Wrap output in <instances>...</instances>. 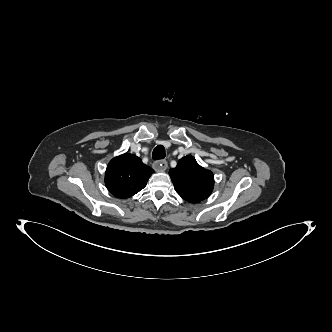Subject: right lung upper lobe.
I'll return each mask as SVG.
<instances>
[{
  "label": "right lung upper lobe",
  "mask_w": 332,
  "mask_h": 332,
  "mask_svg": "<svg viewBox=\"0 0 332 332\" xmlns=\"http://www.w3.org/2000/svg\"><path fill=\"white\" fill-rule=\"evenodd\" d=\"M154 170L133 154L112 159L105 173L108 190L118 198H128L142 190Z\"/></svg>",
  "instance_id": "right-lung-upper-lobe-1"
}]
</instances>
